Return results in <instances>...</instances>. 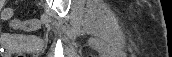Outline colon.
I'll use <instances>...</instances> for the list:
<instances>
[{
    "label": "colon",
    "instance_id": "5ec220e1",
    "mask_svg": "<svg viewBox=\"0 0 172 57\" xmlns=\"http://www.w3.org/2000/svg\"><path fill=\"white\" fill-rule=\"evenodd\" d=\"M14 15V11L11 8H4L1 11V16L4 19L11 20V26L16 29H21L25 31H33L40 28L39 20H28V21H20L17 19H12ZM18 57H24L23 54H18Z\"/></svg>",
    "mask_w": 172,
    "mask_h": 57
}]
</instances>
